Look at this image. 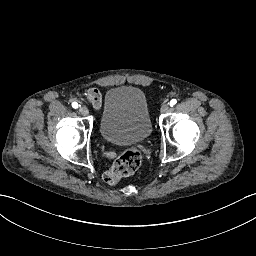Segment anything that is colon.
I'll return each instance as SVG.
<instances>
[{
  "label": "colon",
  "mask_w": 256,
  "mask_h": 256,
  "mask_svg": "<svg viewBox=\"0 0 256 256\" xmlns=\"http://www.w3.org/2000/svg\"><path fill=\"white\" fill-rule=\"evenodd\" d=\"M110 155L109 151L105 152ZM118 159L114 161L113 166L103 174L102 179L105 183L113 185L119 179L132 175L142 163V155L136 149H127L120 153Z\"/></svg>",
  "instance_id": "1"
}]
</instances>
